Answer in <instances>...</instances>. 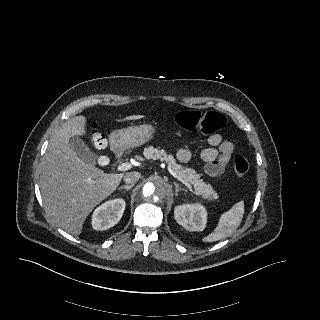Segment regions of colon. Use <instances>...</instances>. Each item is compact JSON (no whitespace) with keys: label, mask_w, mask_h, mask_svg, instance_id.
<instances>
[{"label":"colon","mask_w":320,"mask_h":320,"mask_svg":"<svg viewBox=\"0 0 320 320\" xmlns=\"http://www.w3.org/2000/svg\"><path fill=\"white\" fill-rule=\"evenodd\" d=\"M176 124L187 131L213 133L225 127L226 119L223 114L215 111L202 113L199 111H182L175 116ZM91 142L96 149L105 146V137L96 125L91 129ZM234 171L239 178H243L249 172V162L242 155L237 154L234 158Z\"/></svg>","instance_id":"obj_1"}]
</instances>
